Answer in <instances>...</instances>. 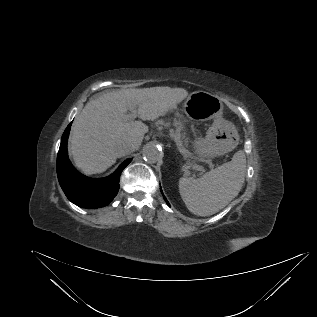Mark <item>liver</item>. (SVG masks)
I'll use <instances>...</instances> for the list:
<instances>
[{
	"mask_svg": "<svg viewBox=\"0 0 317 317\" xmlns=\"http://www.w3.org/2000/svg\"><path fill=\"white\" fill-rule=\"evenodd\" d=\"M187 96L183 88L162 86L121 89L90 100L71 127L69 143L75 165L89 175L106 171L121 157L117 152L120 144L139 147L148 132L143 122L133 119L155 120ZM128 111L133 115L130 119Z\"/></svg>",
	"mask_w": 317,
	"mask_h": 317,
	"instance_id": "1",
	"label": "liver"
}]
</instances>
